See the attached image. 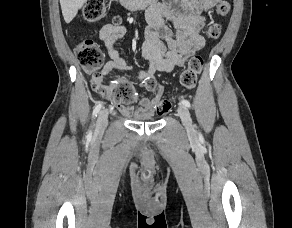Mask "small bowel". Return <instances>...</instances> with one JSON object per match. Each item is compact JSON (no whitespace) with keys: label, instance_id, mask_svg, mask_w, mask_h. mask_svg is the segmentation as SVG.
<instances>
[{"label":"small bowel","instance_id":"small-bowel-1","mask_svg":"<svg viewBox=\"0 0 292 228\" xmlns=\"http://www.w3.org/2000/svg\"><path fill=\"white\" fill-rule=\"evenodd\" d=\"M216 1L166 0L152 6L147 14L149 26L141 48V56L147 61L148 67L137 73V79L154 94L151 98H138L137 108L116 103L121 113L127 116L155 114L164 93V88L156 81L155 74L170 73L175 68L182 67L188 57L203 48L205 40L201 31L205 24V12ZM125 33L126 28L121 24H108L100 30L99 37L108 56L101 71L102 75L113 70H132L115 48L116 41Z\"/></svg>","mask_w":292,"mask_h":228}]
</instances>
